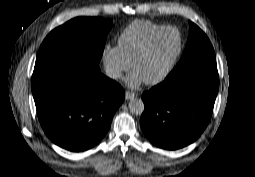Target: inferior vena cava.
<instances>
[{"label":"inferior vena cava","instance_id":"1","mask_svg":"<svg viewBox=\"0 0 255 177\" xmlns=\"http://www.w3.org/2000/svg\"><path fill=\"white\" fill-rule=\"evenodd\" d=\"M105 73L109 78L118 79L122 76L121 72L114 68H106Z\"/></svg>","mask_w":255,"mask_h":177}]
</instances>
